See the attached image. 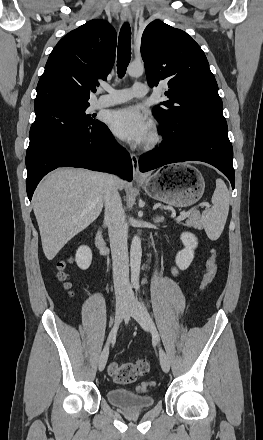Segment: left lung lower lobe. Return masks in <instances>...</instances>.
<instances>
[{
  "instance_id": "left-lung-lower-lobe-1",
  "label": "left lung lower lobe",
  "mask_w": 263,
  "mask_h": 440,
  "mask_svg": "<svg viewBox=\"0 0 263 440\" xmlns=\"http://www.w3.org/2000/svg\"><path fill=\"white\" fill-rule=\"evenodd\" d=\"M161 134L164 141L159 148L140 157L141 172L175 162L202 161L219 169L230 180L234 189L233 149L228 138L226 120L203 124L195 128L193 136L188 139H183L178 131L163 126Z\"/></svg>"
}]
</instances>
